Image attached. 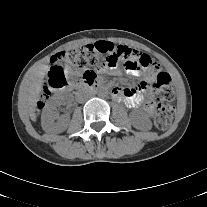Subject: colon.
I'll list each match as a JSON object with an SVG mask.
<instances>
[{
	"mask_svg": "<svg viewBox=\"0 0 207 207\" xmlns=\"http://www.w3.org/2000/svg\"><path fill=\"white\" fill-rule=\"evenodd\" d=\"M119 62H123L125 67L141 68L144 74L150 75L156 71L157 61L153 55L145 54L140 50H133L127 46H115L112 43L100 41L83 47L60 51L51 58V71L49 73V84L54 88H61L66 85V77L62 68L66 66L102 67L112 69ZM92 75L93 73H86ZM157 95L155 125L158 130L165 131L169 128L174 109L169 104L174 99L175 90L172 79L167 72L159 71L153 84ZM49 94L47 86L44 87L42 98Z\"/></svg>",
	"mask_w": 207,
	"mask_h": 207,
	"instance_id": "obj_1",
	"label": "colon"
}]
</instances>
